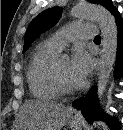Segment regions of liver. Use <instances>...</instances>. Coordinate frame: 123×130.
<instances>
[{
    "instance_id": "1",
    "label": "liver",
    "mask_w": 123,
    "mask_h": 130,
    "mask_svg": "<svg viewBox=\"0 0 123 130\" xmlns=\"http://www.w3.org/2000/svg\"><path fill=\"white\" fill-rule=\"evenodd\" d=\"M73 109L53 101L28 100L21 107L17 130H61Z\"/></svg>"
}]
</instances>
